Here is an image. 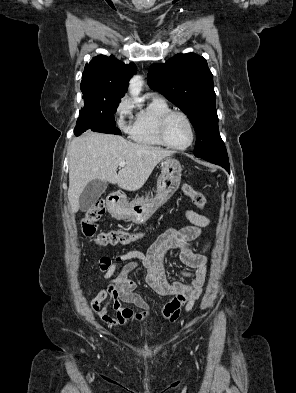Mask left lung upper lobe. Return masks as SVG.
I'll use <instances>...</instances> for the list:
<instances>
[{"label":"left lung upper lobe","instance_id":"1","mask_svg":"<svg viewBox=\"0 0 296 393\" xmlns=\"http://www.w3.org/2000/svg\"><path fill=\"white\" fill-rule=\"evenodd\" d=\"M148 84L190 117L197 134L195 156L227 155L218 130L213 75L203 57L178 54L164 64H153Z\"/></svg>","mask_w":296,"mask_h":393}]
</instances>
